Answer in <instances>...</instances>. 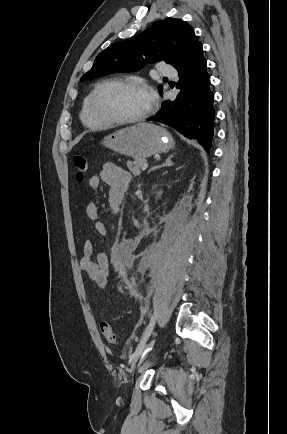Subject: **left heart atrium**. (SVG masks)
Returning a JSON list of instances; mask_svg holds the SVG:
<instances>
[{"label": "left heart atrium", "instance_id": "1", "mask_svg": "<svg viewBox=\"0 0 287 434\" xmlns=\"http://www.w3.org/2000/svg\"><path fill=\"white\" fill-rule=\"evenodd\" d=\"M146 93H147L149 102L151 104L154 101V99H155L154 93L152 91H150V90H147Z\"/></svg>", "mask_w": 287, "mask_h": 434}]
</instances>
